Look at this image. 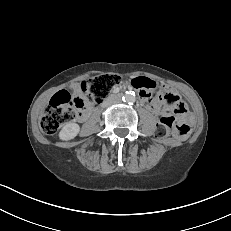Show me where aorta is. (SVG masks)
Masks as SVG:
<instances>
[{
  "instance_id": "762f6f07",
  "label": "aorta",
  "mask_w": 231,
  "mask_h": 231,
  "mask_svg": "<svg viewBox=\"0 0 231 231\" xmlns=\"http://www.w3.org/2000/svg\"><path fill=\"white\" fill-rule=\"evenodd\" d=\"M124 100L126 102H134L135 101V95L131 92H128L124 95Z\"/></svg>"
}]
</instances>
